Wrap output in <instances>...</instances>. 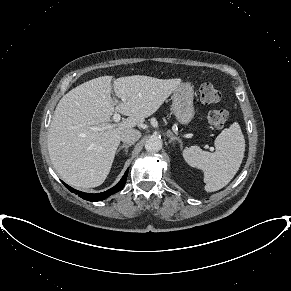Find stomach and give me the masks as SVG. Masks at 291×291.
<instances>
[{
    "mask_svg": "<svg viewBox=\"0 0 291 291\" xmlns=\"http://www.w3.org/2000/svg\"><path fill=\"white\" fill-rule=\"evenodd\" d=\"M194 90L189 83L180 84L172 95V111L180 124H189L195 115L193 106Z\"/></svg>",
    "mask_w": 291,
    "mask_h": 291,
    "instance_id": "stomach-1",
    "label": "stomach"
}]
</instances>
